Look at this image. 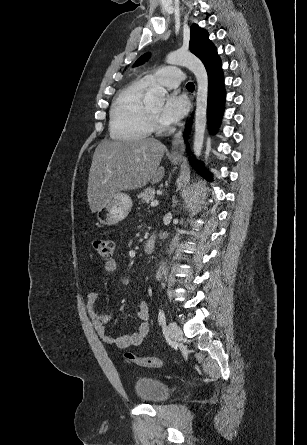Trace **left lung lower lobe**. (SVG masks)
I'll return each mask as SVG.
<instances>
[{"mask_svg":"<svg viewBox=\"0 0 307 445\" xmlns=\"http://www.w3.org/2000/svg\"><path fill=\"white\" fill-rule=\"evenodd\" d=\"M208 73V107L207 116L208 123L212 130H215L221 120L224 111L225 90L223 84V74L221 69L220 58L214 59L207 66ZM191 164L196 171L203 177L210 180V174L202 166H200L194 158L190 159Z\"/></svg>","mask_w":307,"mask_h":445,"instance_id":"obj_1","label":"left lung lower lobe"}]
</instances>
